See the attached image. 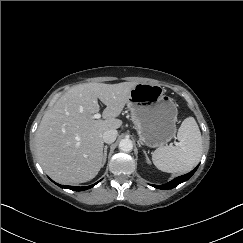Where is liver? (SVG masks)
Wrapping results in <instances>:
<instances>
[{
    "label": "liver",
    "instance_id": "1",
    "mask_svg": "<svg viewBox=\"0 0 243 243\" xmlns=\"http://www.w3.org/2000/svg\"><path fill=\"white\" fill-rule=\"evenodd\" d=\"M135 82L86 83L64 93L44 114L35 134L40 165L53 180L71 185L92 180L103 164V133L118 129L117 117ZM106 105L103 118L94 119Z\"/></svg>",
    "mask_w": 243,
    "mask_h": 243
}]
</instances>
